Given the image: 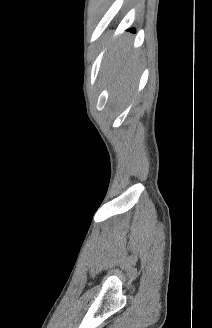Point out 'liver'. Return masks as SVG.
<instances>
[{
  "label": "liver",
  "mask_w": 212,
  "mask_h": 328,
  "mask_svg": "<svg viewBox=\"0 0 212 328\" xmlns=\"http://www.w3.org/2000/svg\"><path fill=\"white\" fill-rule=\"evenodd\" d=\"M131 43L119 39L107 54L105 76L111 84V98L125 103L133 94L140 71V59Z\"/></svg>",
  "instance_id": "liver-1"
}]
</instances>
